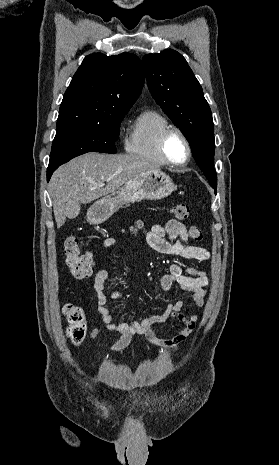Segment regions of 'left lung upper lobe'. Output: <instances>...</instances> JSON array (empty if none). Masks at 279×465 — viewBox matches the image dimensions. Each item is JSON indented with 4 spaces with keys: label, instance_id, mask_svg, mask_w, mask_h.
<instances>
[{
    "label": "left lung upper lobe",
    "instance_id": "obj_1",
    "mask_svg": "<svg viewBox=\"0 0 279 465\" xmlns=\"http://www.w3.org/2000/svg\"><path fill=\"white\" fill-rule=\"evenodd\" d=\"M142 62L152 96L185 135L197 164L216 190L213 119L198 80L185 58L172 49L147 54Z\"/></svg>",
    "mask_w": 279,
    "mask_h": 465
}]
</instances>
